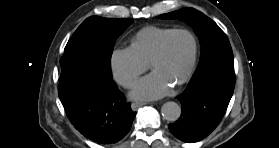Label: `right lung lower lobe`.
<instances>
[{"instance_id":"98d812e1","label":"right lung lower lobe","mask_w":279,"mask_h":148,"mask_svg":"<svg viewBox=\"0 0 279 148\" xmlns=\"http://www.w3.org/2000/svg\"><path fill=\"white\" fill-rule=\"evenodd\" d=\"M58 95L66 114L85 137L99 144L120 141L130 131L136 112L105 75L96 54L84 46L65 48Z\"/></svg>"}]
</instances>
